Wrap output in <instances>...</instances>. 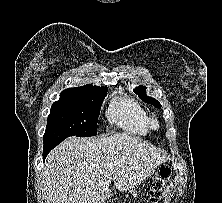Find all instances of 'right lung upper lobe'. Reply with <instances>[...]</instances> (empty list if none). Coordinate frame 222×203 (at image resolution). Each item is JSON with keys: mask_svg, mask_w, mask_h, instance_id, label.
<instances>
[{"mask_svg": "<svg viewBox=\"0 0 222 203\" xmlns=\"http://www.w3.org/2000/svg\"><path fill=\"white\" fill-rule=\"evenodd\" d=\"M107 87H99V86H93L91 84L84 85L81 87H75V88H69L64 91H95V92H105L107 91Z\"/></svg>", "mask_w": 222, "mask_h": 203, "instance_id": "right-lung-upper-lobe-1", "label": "right lung upper lobe"}]
</instances>
